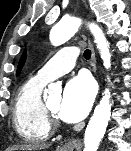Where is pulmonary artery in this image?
Instances as JSON below:
<instances>
[{
    "mask_svg": "<svg viewBox=\"0 0 131 151\" xmlns=\"http://www.w3.org/2000/svg\"><path fill=\"white\" fill-rule=\"evenodd\" d=\"M78 56V49L68 46L60 49L38 72L37 77L49 82L73 69Z\"/></svg>",
    "mask_w": 131,
    "mask_h": 151,
    "instance_id": "1",
    "label": "pulmonary artery"
}]
</instances>
